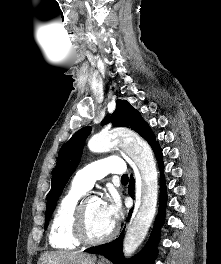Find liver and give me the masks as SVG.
<instances>
[{"label":"liver","mask_w":221,"mask_h":264,"mask_svg":"<svg viewBox=\"0 0 221 264\" xmlns=\"http://www.w3.org/2000/svg\"><path fill=\"white\" fill-rule=\"evenodd\" d=\"M96 256L80 252L52 251L41 254L37 264H95Z\"/></svg>","instance_id":"obj_1"}]
</instances>
